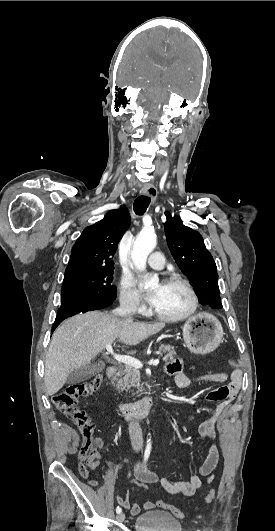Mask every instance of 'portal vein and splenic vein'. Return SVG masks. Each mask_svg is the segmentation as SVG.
<instances>
[{"instance_id": "portal-vein-and-splenic-vein-1", "label": "portal vein and splenic vein", "mask_w": 275, "mask_h": 531, "mask_svg": "<svg viewBox=\"0 0 275 531\" xmlns=\"http://www.w3.org/2000/svg\"><path fill=\"white\" fill-rule=\"evenodd\" d=\"M106 349L108 353L113 355V359H116V361H119V363H125V365H130V367H135V369H142L143 365L141 361H138V359H134V357H127V355H114L112 345H106ZM148 365H159V359H151Z\"/></svg>"}]
</instances>
